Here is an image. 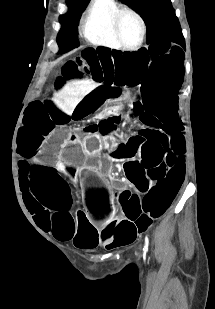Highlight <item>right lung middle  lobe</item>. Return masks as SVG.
Here are the masks:
<instances>
[{"instance_id":"dd1d6c3e","label":"right lung middle lobe","mask_w":215,"mask_h":309,"mask_svg":"<svg viewBox=\"0 0 215 309\" xmlns=\"http://www.w3.org/2000/svg\"><path fill=\"white\" fill-rule=\"evenodd\" d=\"M67 3L70 10L68 14L62 16V29L57 37L60 53L67 52L79 46L77 25L82 12L88 4V2L78 0H68Z\"/></svg>"}]
</instances>
